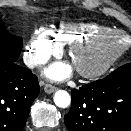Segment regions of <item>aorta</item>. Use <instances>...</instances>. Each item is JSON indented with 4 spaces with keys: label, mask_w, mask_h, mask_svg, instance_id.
<instances>
[{
    "label": "aorta",
    "mask_w": 131,
    "mask_h": 131,
    "mask_svg": "<svg viewBox=\"0 0 131 131\" xmlns=\"http://www.w3.org/2000/svg\"><path fill=\"white\" fill-rule=\"evenodd\" d=\"M54 103L60 108H67L71 103V97L68 92L58 90L54 95Z\"/></svg>",
    "instance_id": "obj_1"
}]
</instances>
